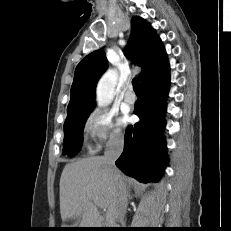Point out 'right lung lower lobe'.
<instances>
[{"mask_svg":"<svg viewBox=\"0 0 231 231\" xmlns=\"http://www.w3.org/2000/svg\"><path fill=\"white\" fill-rule=\"evenodd\" d=\"M169 83L167 71L141 85L142 94L134 110L140 121L127 128L123 153L115 162L126 175L144 183L158 182L167 165L163 129Z\"/></svg>","mask_w":231,"mask_h":231,"instance_id":"right-lung-lower-lobe-1","label":"right lung lower lobe"}]
</instances>
